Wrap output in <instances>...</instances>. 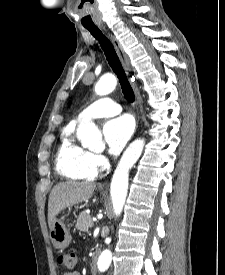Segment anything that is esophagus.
<instances>
[{
  "instance_id": "obj_1",
  "label": "esophagus",
  "mask_w": 225,
  "mask_h": 275,
  "mask_svg": "<svg viewBox=\"0 0 225 275\" xmlns=\"http://www.w3.org/2000/svg\"><path fill=\"white\" fill-rule=\"evenodd\" d=\"M108 36H109L112 44L114 45V48L120 58V61L122 63L124 70L126 71L127 74H129V71H130L129 60H128V57H127L121 43L112 34L108 33ZM133 88H134L135 95H136L137 116H138V121H139V93H138L137 87L135 85H133Z\"/></svg>"
}]
</instances>
